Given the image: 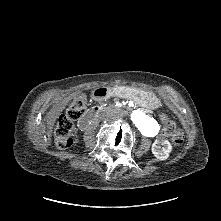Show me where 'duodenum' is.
I'll list each match as a JSON object with an SVG mask.
<instances>
[{
    "mask_svg": "<svg viewBox=\"0 0 221 221\" xmlns=\"http://www.w3.org/2000/svg\"><path fill=\"white\" fill-rule=\"evenodd\" d=\"M128 93V90L125 88H115L114 90H111L108 86H101V87H96L92 91V98L96 102H103V101H108L111 97L112 94L114 95H125ZM106 109L102 106H93L89 108L83 116L79 119L78 125L81 130H86L92 121L95 119V117L102 113L105 112Z\"/></svg>",
    "mask_w": 221,
    "mask_h": 221,
    "instance_id": "410a0bca",
    "label": "duodenum"
}]
</instances>
